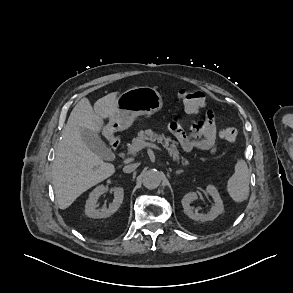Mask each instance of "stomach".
<instances>
[{"instance_id": "1", "label": "stomach", "mask_w": 293, "mask_h": 293, "mask_svg": "<svg viewBox=\"0 0 293 293\" xmlns=\"http://www.w3.org/2000/svg\"><path fill=\"white\" fill-rule=\"evenodd\" d=\"M162 107V97L156 89L148 86L129 89L116 98V112L109 119L107 130H125L132 125L135 117L155 114Z\"/></svg>"}]
</instances>
